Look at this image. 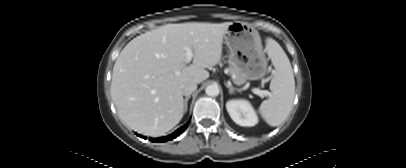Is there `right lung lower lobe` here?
Listing matches in <instances>:
<instances>
[{"label":"right lung lower lobe","mask_w":406,"mask_h":168,"mask_svg":"<svg viewBox=\"0 0 406 168\" xmlns=\"http://www.w3.org/2000/svg\"><path fill=\"white\" fill-rule=\"evenodd\" d=\"M190 120L182 127H180L179 129H177L174 133L170 134L169 136H165V137H161V138H154L151 139L153 142H165L168 140H172L174 138H176L177 136H179L181 133H183L185 131V129L187 128L188 124H189ZM146 139V137L144 136H140Z\"/></svg>","instance_id":"right-lung-lower-lobe-1"}]
</instances>
